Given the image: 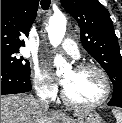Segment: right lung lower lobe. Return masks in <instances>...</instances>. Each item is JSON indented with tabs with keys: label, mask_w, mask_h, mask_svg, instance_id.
Here are the masks:
<instances>
[{
	"label": "right lung lower lobe",
	"mask_w": 122,
	"mask_h": 123,
	"mask_svg": "<svg viewBox=\"0 0 122 123\" xmlns=\"http://www.w3.org/2000/svg\"><path fill=\"white\" fill-rule=\"evenodd\" d=\"M31 89L30 76L1 66V95L25 93Z\"/></svg>",
	"instance_id": "1"
}]
</instances>
